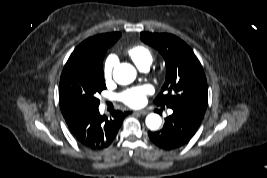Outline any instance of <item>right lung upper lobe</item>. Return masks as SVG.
Segmentation results:
<instances>
[{
    "label": "right lung upper lobe",
    "mask_w": 267,
    "mask_h": 178,
    "mask_svg": "<svg viewBox=\"0 0 267 178\" xmlns=\"http://www.w3.org/2000/svg\"><path fill=\"white\" fill-rule=\"evenodd\" d=\"M121 36V33H106L101 35H96L94 37H90L83 41L80 45H78L71 56L69 57L67 63L79 60L88 55H95L98 51V48L103 43H115ZM112 44V45H113Z\"/></svg>",
    "instance_id": "obj_1"
}]
</instances>
